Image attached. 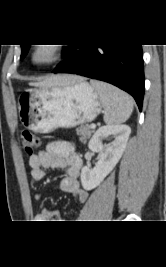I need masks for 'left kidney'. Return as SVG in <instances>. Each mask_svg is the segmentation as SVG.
I'll return each mask as SVG.
<instances>
[{"mask_svg": "<svg viewBox=\"0 0 166 267\" xmlns=\"http://www.w3.org/2000/svg\"><path fill=\"white\" fill-rule=\"evenodd\" d=\"M131 129L127 125H108L99 128L88 147L91 151L99 153L98 162L94 168L84 166L81 170V184L85 190L97 187L113 170L125 151ZM112 137L114 140L103 144V140Z\"/></svg>", "mask_w": 166, "mask_h": 267, "instance_id": "1", "label": "left kidney"}]
</instances>
